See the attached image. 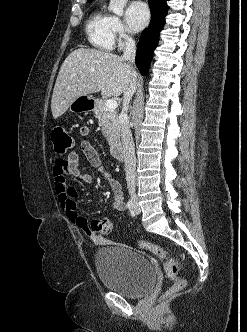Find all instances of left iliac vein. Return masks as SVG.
I'll return each instance as SVG.
<instances>
[{
    "label": "left iliac vein",
    "mask_w": 247,
    "mask_h": 332,
    "mask_svg": "<svg viewBox=\"0 0 247 332\" xmlns=\"http://www.w3.org/2000/svg\"><path fill=\"white\" fill-rule=\"evenodd\" d=\"M133 212H135L136 214L140 213V208H139V206L136 202H135L134 207H133Z\"/></svg>",
    "instance_id": "left-iliac-vein-1"
}]
</instances>
